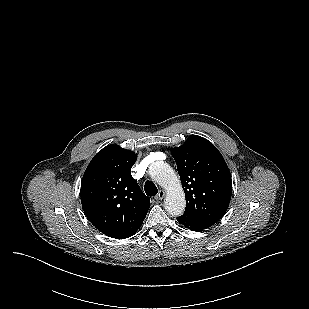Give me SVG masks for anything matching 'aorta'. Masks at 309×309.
Returning <instances> with one entry per match:
<instances>
[{
    "mask_svg": "<svg viewBox=\"0 0 309 309\" xmlns=\"http://www.w3.org/2000/svg\"><path fill=\"white\" fill-rule=\"evenodd\" d=\"M149 174L160 186L166 189L165 209L172 216H180L185 210L186 200L180 179L165 162L150 165Z\"/></svg>",
    "mask_w": 309,
    "mask_h": 309,
    "instance_id": "1",
    "label": "aorta"
}]
</instances>
